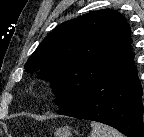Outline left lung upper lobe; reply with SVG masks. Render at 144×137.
Here are the masks:
<instances>
[{
	"label": "left lung upper lobe",
	"mask_w": 144,
	"mask_h": 137,
	"mask_svg": "<svg viewBox=\"0 0 144 137\" xmlns=\"http://www.w3.org/2000/svg\"><path fill=\"white\" fill-rule=\"evenodd\" d=\"M131 30L119 12L98 10L65 21L49 33L25 64L52 83L61 109L90 91L125 61Z\"/></svg>",
	"instance_id": "1"
}]
</instances>
